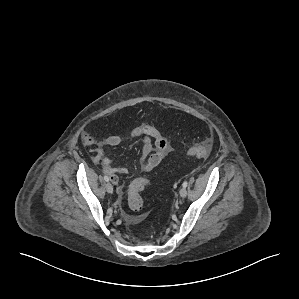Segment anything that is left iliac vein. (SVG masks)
Here are the masks:
<instances>
[{
	"label": "left iliac vein",
	"mask_w": 299,
	"mask_h": 299,
	"mask_svg": "<svg viewBox=\"0 0 299 299\" xmlns=\"http://www.w3.org/2000/svg\"><path fill=\"white\" fill-rule=\"evenodd\" d=\"M179 195H180V197H182V198L186 197V195H187V190H186V188L182 187V188L180 189V191H179Z\"/></svg>",
	"instance_id": "1"
}]
</instances>
